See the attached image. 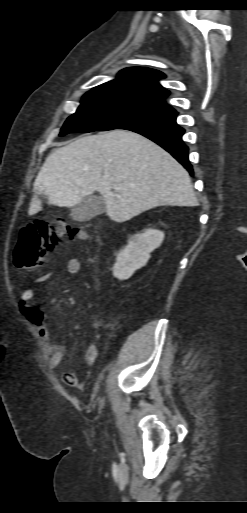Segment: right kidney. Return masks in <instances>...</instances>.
I'll return each mask as SVG.
<instances>
[{
	"instance_id": "1",
	"label": "right kidney",
	"mask_w": 247,
	"mask_h": 513,
	"mask_svg": "<svg viewBox=\"0 0 247 513\" xmlns=\"http://www.w3.org/2000/svg\"><path fill=\"white\" fill-rule=\"evenodd\" d=\"M164 240V232L147 229L128 240L127 246L119 251L113 266V275L120 279L130 278L137 269L145 266L150 253L158 248Z\"/></svg>"
}]
</instances>
